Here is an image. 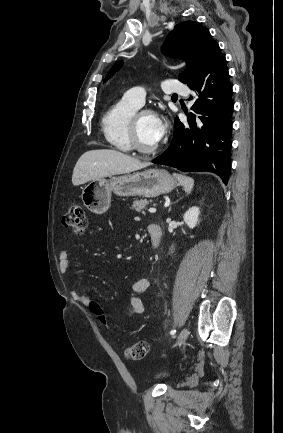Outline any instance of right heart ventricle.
<instances>
[{
	"label": "right heart ventricle",
	"instance_id": "e07e8e85",
	"mask_svg": "<svg viewBox=\"0 0 283 433\" xmlns=\"http://www.w3.org/2000/svg\"><path fill=\"white\" fill-rule=\"evenodd\" d=\"M138 108L127 99L122 98L102 116L103 135L113 148L122 152L131 150L130 122Z\"/></svg>",
	"mask_w": 283,
	"mask_h": 433
}]
</instances>
